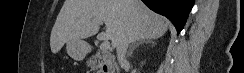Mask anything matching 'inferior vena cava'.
<instances>
[{
  "label": "inferior vena cava",
  "instance_id": "1",
  "mask_svg": "<svg viewBox=\"0 0 244 73\" xmlns=\"http://www.w3.org/2000/svg\"><path fill=\"white\" fill-rule=\"evenodd\" d=\"M128 45L129 39L126 36H123L116 47L118 62L121 66H125L128 64V61L126 59Z\"/></svg>",
  "mask_w": 244,
  "mask_h": 73
}]
</instances>
